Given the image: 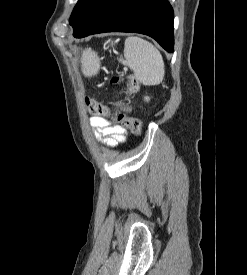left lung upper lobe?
<instances>
[{"instance_id":"obj_1","label":"left lung upper lobe","mask_w":247,"mask_h":275,"mask_svg":"<svg viewBox=\"0 0 247 275\" xmlns=\"http://www.w3.org/2000/svg\"><path fill=\"white\" fill-rule=\"evenodd\" d=\"M101 0H79L70 17L74 30L80 28Z\"/></svg>"}]
</instances>
